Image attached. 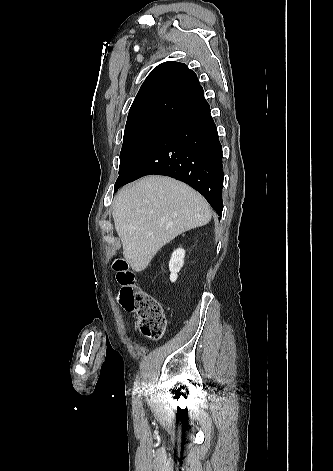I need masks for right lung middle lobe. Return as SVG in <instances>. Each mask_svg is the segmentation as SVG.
<instances>
[{
	"label": "right lung middle lobe",
	"mask_w": 333,
	"mask_h": 471,
	"mask_svg": "<svg viewBox=\"0 0 333 471\" xmlns=\"http://www.w3.org/2000/svg\"><path fill=\"white\" fill-rule=\"evenodd\" d=\"M175 120L160 115L128 117L120 153L119 177L150 142Z\"/></svg>",
	"instance_id": "dd1d6c3e"
}]
</instances>
